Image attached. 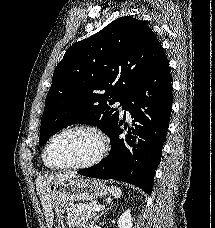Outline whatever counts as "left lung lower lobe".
I'll return each instance as SVG.
<instances>
[{
  "label": "left lung lower lobe",
  "instance_id": "1",
  "mask_svg": "<svg viewBox=\"0 0 215 228\" xmlns=\"http://www.w3.org/2000/svg\"><path fill=\"white\" fill-rule=\"evenodd\" d=\"M171 81L169 63L162 49L146 76L122 106L134 118L133 122L142 124L135 125L136 130L133 131L134 135L139 136L137 144H133L136 140L132 142L131 136H126L132 149L126 147L121 137V120L110 136L111 151L108 157L77 173L91 178L127 182L150 194L170 121L173 100ZM123 118H126L125 114Z\"/></svg>",
  "mask_w": 215,
  "mask_h": 228
}]
</instances>
